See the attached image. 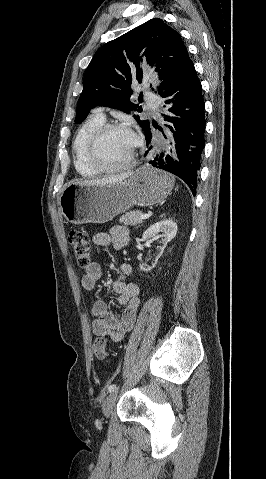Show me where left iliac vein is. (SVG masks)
Segmentation results:
<instances>
[{
	"mask_svg": "<svg viewBox=\"0 0 266 479\" xmlns=\"http://www.w3.org/2000/svg\"><path fill=\"white\" fill-rule=\"evenodd\" d=\"M118 391L115 390L111 392L108 397L106 398L104 404H103V414L105 417H109L112 413V409L115 405L116 399H117Z\"/></svg>",
	"mask_w": 266,
	"mask_h": 479,
	"instance_id": "obj_1",
	"label": "left iliac vein"
}]
</instances>
